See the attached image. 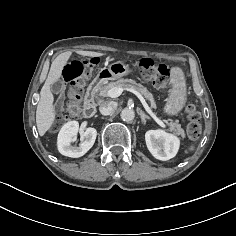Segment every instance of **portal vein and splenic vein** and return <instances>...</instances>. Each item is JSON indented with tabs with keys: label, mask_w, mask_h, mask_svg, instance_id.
<instances>
[{
	"label": "portal vein and splenic vein",
	"mask_w": 236,
	"mask_h": 236,
	"mask_svg": "<svg viewBox=\"0 0 236 236\" xmlns=\"http://www.w3.org/2000/svg\"><path fill=\"white\" fill-rule=\"evenodd\" d=\"M128 91H131L132 93H134L141 101V103L143 104L145 110L147 111L148 114H150V116L163 128H165V124L156 117V115L152 112V110L150 109V107L148 106V104L145 102L144 98L142 97V95L134 90V89H127ZM123 92V88H119V87H114L111 88L107 91V96L110 98H116L119 97Z\"/></svg>",
	"instance_id": "18ae733b"
}]
</instances>
